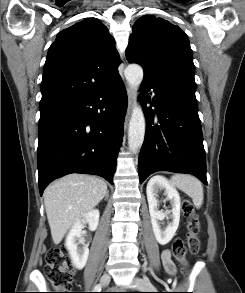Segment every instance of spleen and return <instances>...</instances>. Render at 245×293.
<instances>
[{"mask_svg": "<svg viewBox=\"0 0 245 293\" xmlns=\"http://www.w3.org/2000/svg\"><path fill=\"white\" fill-rule=\"evenodd\" d=\"M170 183L191 197L196 208L201 207L204 193L203 186L197 178L187 174H176L171 177Z\"/></svg>", "mask_w": 245, "mask_h": 293, "instance_id": "1", "label": "spleen"}]
</instances>
